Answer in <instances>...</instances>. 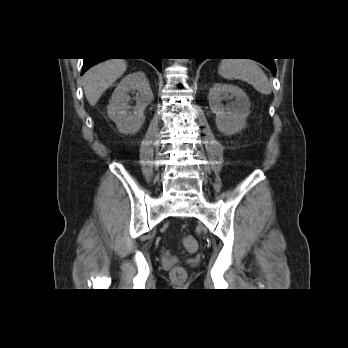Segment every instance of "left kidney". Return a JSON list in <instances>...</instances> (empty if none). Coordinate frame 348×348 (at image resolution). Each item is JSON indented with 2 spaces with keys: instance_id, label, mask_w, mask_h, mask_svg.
I'll return each mask as SVG.
<instances>
[{
  "instance_id": "obj_1",
  "label": "left kidney",
  "mask_w": 348,
  "mask_h": 348,
  "mask_svg": "<svg viewBox=\"0 0 348 348\" xmlns=\"http://www.w3.org/2000/svg\"><path fill=\"white\" fill-rule=\"evenodd\" d=\"M223 105L222 101L232 100ZM209 106L216 114V126L226 135L238 133L246 125L251 103L247 94L235 85L216 83L209 91Z\"/></svg>"
}]
</instances>
